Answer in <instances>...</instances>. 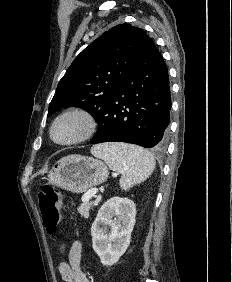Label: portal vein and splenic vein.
Returning <instances> with one entry per match:
<instances>
[{"mask_svg": "<svg viewBox=\"0 0 232 282\" xmlns=\"http://www.w3.org/2000/svg\"><path fill=\"white\" fill-rule=\"evenodd\" d=\"M97 192H98V189L96 188L89 190L82 196V202H88L95 194H97Z\"/></svg>", "mask_w": 232, "mask_h": 282, "instance_id": "18ae733b", "label": "portal vein and splenic vein"}]
</instances>
